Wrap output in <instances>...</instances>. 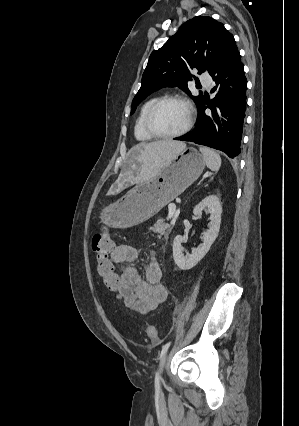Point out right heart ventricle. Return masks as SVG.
<instances>
[{
  "mask_svg": "<svg viewBox=\"0 0 299 426\" xmlns=\"http://www.w3.org/2000/svg\"><path fill=\"white\" fill-rule=\"evenodd\" d=\"M159 98V96H152L149 99H147L141 106L135 126H134V135L137 140L139 141H150L153 139L151 135L147 133L144 127V119L146 116V113L150 106Z\"/></svg>",
  "mask_w": 299,
  "mask_h": 426,
  "instance_id": "right-heart-ventricle-1",
  "label": "right heart ventricle"
}]
</instances>
